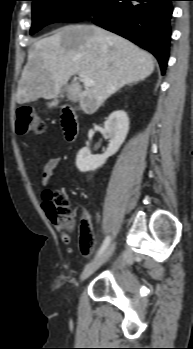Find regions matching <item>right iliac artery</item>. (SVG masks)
<instances>
[{"instance_id":"obj_1","label":"right iliac artery","mask_w":193,"mask_h":349,"mask_svg":"<svg viewBox=\"0 0 193 349\" xmlns=\"http://www.w3.org/2000/svg\"><path fill=\"white\" fill-rule=\"evenodd\" d=\"M109 243H110V237L107 236V237L105 238L103 244L101 245L99 251L97 252V255H96L95 258H98V257H100V256L103 254V252H104V251L106 250V248L108 247Z\"/></svg>"}]
</instances>
